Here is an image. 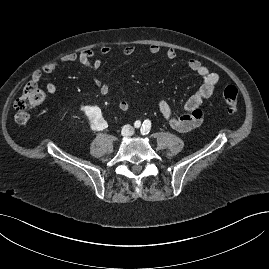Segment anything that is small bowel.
Returning <instances> with one entry per match:
<instances>
[{"label":"small bowel","mask_w":269,"mask_h":269,"mask_svg":"<svg viewBox=\"0 0 269 269\" xmlns=\"http://www.w3.org/2000/svg\"><path fill=\"white\" fill-rule=\"evenodd\" d=\"M111 50L110 46L105 45L98 51L82 49L77 53L65 54L60 58L59 62H50L45 64L41 69L35 70L32 74V81L35 83L40 82L43 75L53 73L57 69L59 63L72 64L78 62L91 70H98L102 66L100 56L109 55ZM160 51L161 47L159 45L152 44L149 47V52L152 54H158ZM134 52L135 47L129 45L123 49L122 54L123 56L128 57ZM165 55L169 60H175L177 58V52L173 48L167 49ZM186 64L190 71L201 78V84L195 93L185 102L182 113H176L165 101H161L158 104L159 111L169 125L175 130L183 133L189 132L201 124L203 120V112L200 109V106L203 100L214 95L220 82V75L212 72L199 60L189 59ZM94 84L101 94L105 96L110 95L111 87L107 83L102 82L98 78H94ZM46 92L49 95H54L57 92V86L52 82L48 83L46 85ZM118 107L122 112H128L130 104L126 99H120L118 101Z\"/></svg>","instance_id":"1"}]
</instances>
